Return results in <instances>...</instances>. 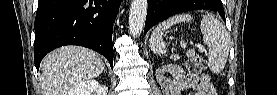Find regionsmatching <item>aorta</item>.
Returning a JSON list of instances; mask_svg holds the SVG:
<instances>
[{"instance_id":"obj_1","label":"aorta","mask_w":277,"mask_h":95,"mask_svg":"<svg viewBox=\"0 0 277 95\" xmlns=\"http://www.w3.org/2000/svg\"><path fill=\"white\" fill-rule=\"evenodd\" d=\"M147 0H132L129 12V32L137 37L144 29L147 16Z\"/></svg>"}]
</instances>
